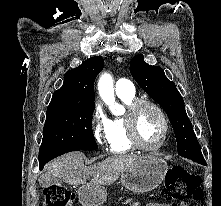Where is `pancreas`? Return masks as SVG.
<instances>
[{"label":"pancreas","instance_id":"obj_1","mask_svg":"<svg viewBox=\"0 0 221 206\" xmlns=\"http://www.w3.org/2000/svg\"><path fill=\"white\" fill-rule=\"evenodd\" d=\"M131 199H127V202H130ZM133 206H138V203H134Z\"/></svg>","mask_w":221,"mask_h":206}]
</instances>
